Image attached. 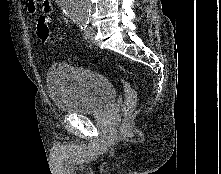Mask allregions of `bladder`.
<instances>
[{
  "instance_id": "bladder-1",
  "label": "bladder",
  "mask_w": 221,
  "mask_h": 174,
  "mask_svg": "<svg viewBox=\"0 0 221 174\" xmlns=\"http://www.w3.org/2000/svg\"><path fill=\"white\" fill-rule=\"evenodd\" d=\"M46 85L54 107L67 114H99L116 96L113 84L105 76L70 64L50 66Z\"/></svg>"
}]
</instances>
